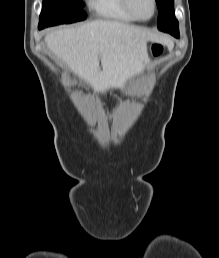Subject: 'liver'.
<instances>
[{
	"label": "liver",
	"mask_w": 219,
	"mask_h": 258,
	"mask_svg": "<svg viewBox=\"0 0 219 258\" xmlns=\"http://www.w3.org/2000/svg\"><path fill=\"white\" fill-rule=\"evenodd\" d=\"M149 40L171 45L170 40L141 28L108 20L57 29L45 36L48 48L95 92L102 93L123 88L140 73Z\"/></svg>",
	"instance_id": "liver-1"
}]
</instances>
